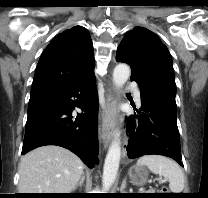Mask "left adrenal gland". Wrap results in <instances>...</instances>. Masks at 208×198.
Wrapping results in <instances>:
<instances>
[{
  "label": "left adrenal gland",
  "mask_w": 208,
  "mask_h": 198,
  "mask_svg": "<svg viewBox=\"0 0 208 198\" xmlns=\"http://www.w3.org/2000/svg\"><path fill=\"white\" fill-rule=\"evenodd\" d=\"M125 189H126V177L123 179L121 187H120L121 193H125Z\"/></svg>",
  "instance_id": "obj_1"
}]
</instances>
